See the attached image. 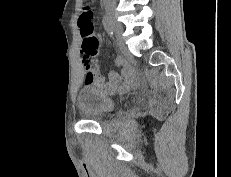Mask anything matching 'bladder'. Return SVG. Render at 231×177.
Wrapping results in <instances>:
<instances>
[{"label": "bladder", "instance_id": "obj_1", "mask_svg": "<svg viewBox=\"0 0 231 177\" xmlns=\"http://www.w3.org/2000/svg\"><path fill=\"white\" fill-rule=\"evenodd\" d=\"M79 110L89 118L104 116L114 108V100L94 87H84L77 96Z\"/></svg>", "mask_w": 231, "mask_h": 177}]
</instances>
